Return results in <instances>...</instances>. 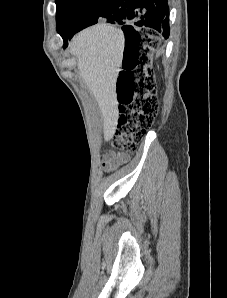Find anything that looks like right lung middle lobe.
<instances>
[{
  "mask_svg": "<svg viewBox=\"0 0 227 298\" xmlns=\"http://www.w3.org/2000/svg\"><path fill=\"white\" fill-rule=\"evenodd\" d=\"M105 0H56L58 33L76 30L83 21Z\"/></svg>",
  "mask_w": 227,
  "mask_h": 298,
  "instance_id": "obj_1",
  "label": "right lung middle lobe"
}]
</instances>
